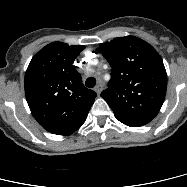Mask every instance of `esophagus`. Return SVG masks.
I'll return each instance as SVG.
<instances>
[{"instance_id":"1","label":"esophagus","mask_w":187,"mask_h":187,"mask_svg":"<svg viewBox=\"0 0 187 187\" xmlns=\"http://www.w3.org/2000/svg\"><path fill=\"white\" fill-rule=\"evenodd\" d=\"M104 88V85L102 83H98L95 87V92L99 95Z\"/></svg>"}]
</instances>
